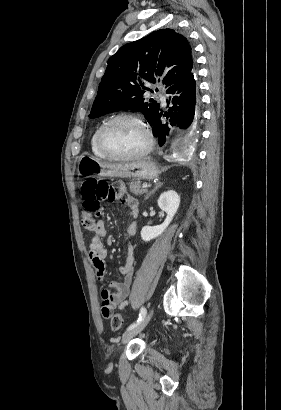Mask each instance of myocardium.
<instances>
[{
    "label": "myocardium",
    "mask_w": 281,
    "mask_h": 410,
    "mask_svg": "<svg viewBox=\"0 0 281 410\" xmlns=\"http://www.w3.org/2000/svg\"><path fill=\"white\" fill-rule=\"evenodd\" d=\"M123 119H127V120H131L136 122L137 124H139L147 137V142L145 147L136 153H132V154H118L115 153L113 151H111L105 144L104 142V135L105 132L107 131V129L115 122L119 121V120H123ZM97 146L99 148V150L109 159H113V160H132V159H138V158H142L146 155H148L151 150L153 149L154 146V138L152 135V132L149 129V126L147 125V123L140 118L139 116L132 114V113H120L117 114L115 116H113L112 118H110L109 120H107L106 122H104L97 133Z\"/></svg>",
    "instance_id": "f54148a6"
}]
</instances>
